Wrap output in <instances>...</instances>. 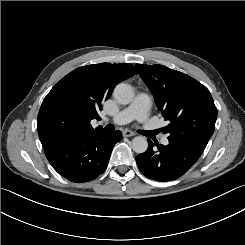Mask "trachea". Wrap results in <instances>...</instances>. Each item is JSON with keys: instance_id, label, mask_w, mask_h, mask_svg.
Instances as JSON below:
<instances>
[{"instance_id": "3493384b", "label": "trachea", "mask_w": 245, "mask_h": 245, "mask_svg": "<svg viewBox=\"0 0 245 245\" xmlns=\"http://www.w3.org/2000/svg\"><path fill=\"white\" fill-rule=\"evenodd\" d=\"M105 129H106L107 131H113V130L115 129V127H114V125H112V124H108V125H106Z\"/></svg>"}]
</instances>
